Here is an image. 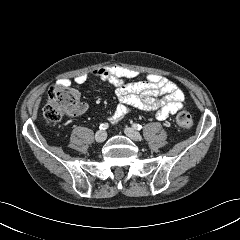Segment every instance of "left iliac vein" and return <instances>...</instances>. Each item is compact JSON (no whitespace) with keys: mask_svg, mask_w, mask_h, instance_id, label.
Instances as JSON below:
<instances>
[{"mask_svg":"<svg viewBox=\"0 0 240 240\" xmlns=\"http://www.w3.org/2000/svg\"><path fill=\"white\" fill-rule=\"evenodd\" d=\"M124 132L130 139H132L134 141H139L141 139V135L139 134V132H137L133 128L126 127L124 129Z\"/></svg>","mask_w":240,"mask_h":240,"instance_id":"4c4485c4","label":"left iliac vein"}]
</instances>
